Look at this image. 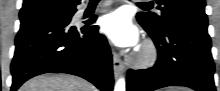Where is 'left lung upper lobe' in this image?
<instances>
[{
  "mask_svg": "<svg viewBox=\"0 0 220 91\" xmlns=\"http://www.w3.org/2000/svg\"><path fill=\"white\" fill-rule=\"evenodd\" d=\"M161 15L139 12L137 17L154 33H161L178 23L207 27L205 0H156Z\"/></svg>",
  "mask_w": 220,
  "mask_h": 91,
  "instance_id": "1",
  "label": "left lung upper lobe"
}]
</instances>
